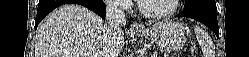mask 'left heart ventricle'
Listing matches in <instances>:
<instances>
[{
    "mask_svg": "<svg viewBox=\"0 0 249 57\" xmlns=\"http://www.w3.org/2000/svg\"><path fill=\"white\" fill-rule=\"evenodd\" d=\"M143 7L149 13H162L172 7L173 0H143Z\"/></svg>",
    "mask_w": 249,
    "mask_h": 57,
    "instance_id": "b2bd125f",
    "label": "left heart ventricle"
}]
</instances>
